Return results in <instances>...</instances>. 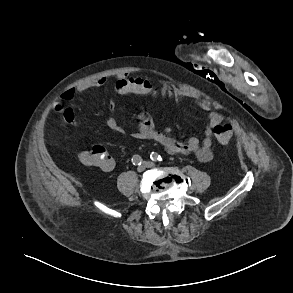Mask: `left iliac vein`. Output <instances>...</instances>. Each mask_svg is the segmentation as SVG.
Wrapping results in <instances>:
<instances>
[{"mask_svg": "<svg viewBox=\"0 0 293 293\" xmlns=\"http://www.w3.org/2000/svg\"><path fill=\"white\" fill-rule=\"evenodd\" d=\"M143 165L146 167V168H152L155 166V164L153 162H150V161H144L143 162Z\"/></svg>", "mask_w": 293, "mask_h": 293, "instance_id": "4c4485c4", "label": "left iliac vein"}]
</instances>
